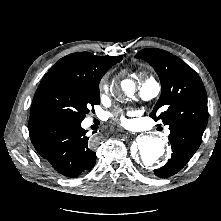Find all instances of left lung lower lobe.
Returning a JSON list of instances; mask_svg holds the SVG:
<instances>
[{"label": "left lung lower lobe", "mask_w": 221, "mask_h": 221, "mask_svg": "<svg viewBox=\"0 0 221 221\" xmlns=\"http://www.w3.org/2000/svg\"><path fill=\"white\" fill-rule=\"evenodd\" d=\"M171 131L169 141L172 147V155L166 165L154 170V174L161 178H167L180 171L195 154L200 146L203 132L195 128L174 124L169 126Z\"/></svg>", "instance_id": "obj_1"}]
</instances>
